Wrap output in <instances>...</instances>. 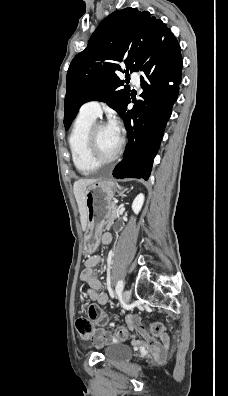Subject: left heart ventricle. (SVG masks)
Wrapping results in <instances>:
<instances>
[{"label": "left heart ventricle", "instance_id": "left-heart-ventricle-1", "mask_svg": "<svg viewBox=\"0 0 228 396\" xmlns=\"http://www.w3.org/2000/svg\"><path fill=\"white\" fill-rule=\"evenodd\" d=\"M119 140V135L109 125L101 127L96 134L98 155L105 159L111 157L118 148Z\"/></svg>", "mask_w": 228, "mask_h": 396}]
</instances>
